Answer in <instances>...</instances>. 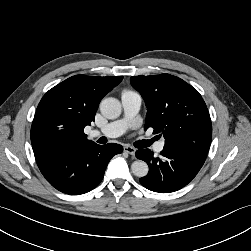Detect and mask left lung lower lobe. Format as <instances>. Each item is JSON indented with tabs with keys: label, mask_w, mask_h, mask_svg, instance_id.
<instances>
[{
	"label": "left lung lower lobe",
	"mask_w": 251,
	"mask_h": 251,
	"mask_svg": "<svg viewBox=\"0 0 251 251\" xmlns=\"http://www.w3.org/2000/svg\"><path fill=\"white\" fill-rule=\"evenodd\" d=\"M136 157L145 161L149 172L140 178V183L149 190L159 193L177 191L197 175L203 166L207 153L196 148L164 146L161 157H154L153 151L140 149Z\"/></svg>",
	"instance_id": "left-lung-lower-lobe-1"
}]
</instances>
